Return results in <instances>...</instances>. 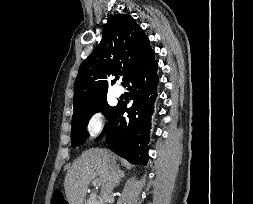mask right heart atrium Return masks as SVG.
I'll return each mask as SVG.
<instances>
[{"label":"right heart atrium","instance_id":"1","mask_svg":"<svg viewBox=\"0 0 253 204\" xmlns=\"http://www.w3.org/2000/svg\"><path fill=\"white\" fill-rule=\"evenodd\" d=\"M104 127V115L101 111L90 114L85 124L86 135L89 139L97 137Z\"/></svg>","mask_w":253,"mask_h":204}]
</instances>
